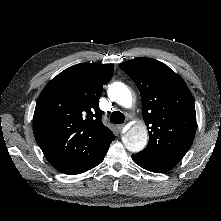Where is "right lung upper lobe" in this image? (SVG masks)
<instances>
[{
	"instance_id": "right-lung-upper-lobe-1",
	"label": "right lung upper lobe",
	"mask_w": 221,
	"mask_h": 221,
	"mask_svg": "<svg viewBox=\"0 0 221 221\" xmlns=\"http://www.w3.org/2000/svg\"><path fill=\"white\" fill-rule=\"evenodd\" d=\"M113 64L80 63L62 71L41 92L33 117L37 144L65 174L85 172L102 160L114 134L101 121L98 100Z\"/></svg>"
}]
</instances>
